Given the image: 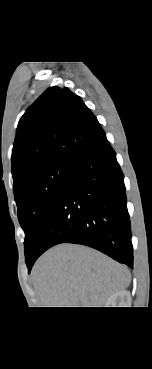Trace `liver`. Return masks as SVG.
I'll list each match as a JSON object with an SVG mask.
<instances>
[{"mask_svg": "<svg viewBox=\"0 0 152 369\" xmlns=\"http://www.w3.org/2000/svg\"><path fill=\"white\" fill-rule=\"evenodd\" d=\"M128 268L94 249L57 245L39 258L32 270L34 288L44 307H100L126 289Z\"/></svg>", "mask_w": 152, "mask_h": 369, "instance_id": "6515ba94", "label": "liver"}]
</instances>
